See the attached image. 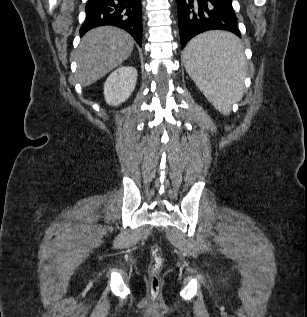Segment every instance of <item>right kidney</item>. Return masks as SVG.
I'll return each instance as SVG.
<instances>
[{"label":"right kidney","mask_w":307,"mask_h":317,"mask_svg":"<svg viewBox=\"0 0 307 317\" xmlns=\"http://www.w3.org/2000/svg\"><path fill=\"white\" fill-rule=\"evenodd\" d=\"M137 70L132 66H121L112 72L104 84V97L107 104L118 106L125 102L134 91Z\"/></svg>","instance_id":"obj_1"}]
</instances>
